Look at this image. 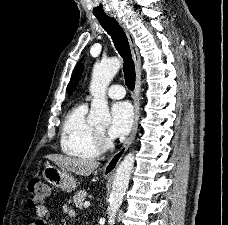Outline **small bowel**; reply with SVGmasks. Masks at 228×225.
Listing matches in <instances>:
<instances>
[{"mask_svg":"<svg viewBox=\"0 0 228 225\" xmlns=\"http://www.w3.org/2000/svg\"><path fill=\"white\" fill-rule=\"evenodd\" d=\"M49 214V209L46 205L41 206L36 210L38 219L31 223V225H51V222H45L44 218ZM43 221V222H42Z\"/></svg>","mask_w":228,"mask_h":225,"instance_id":"small-bowel-1","label":"small bowel"}]
</instances>
